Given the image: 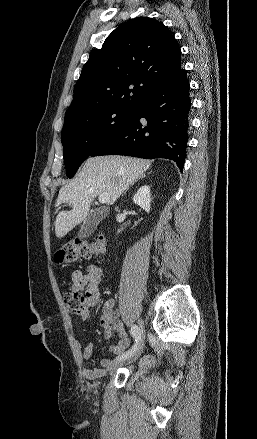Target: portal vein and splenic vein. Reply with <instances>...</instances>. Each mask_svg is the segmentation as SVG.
I'll list each match as a JSON object with an SVG mask.
<instances>
[{"label": "portal vein and splenic vein", "instance_id": "portal-vein-and-splenic-vein-1", "mask_svg": "<svg viewBox=\"0 0 257 439\" xmlns=\"http://www.w3.org/2000/svg\"><path fill=\"white\" fill-rule=\"evenodd\" d=\"M98 200L102 204L107 203L109 201V195L107 193H102L99 195Z\"/></svg>", "mask_w": 257, "mask_h": 439}]
</instances>
